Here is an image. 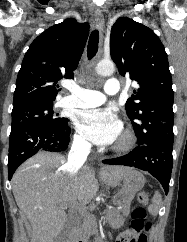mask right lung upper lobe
<instances>
[{
	"label": "right lung upper lobe",
	"mask_w": 187,
	"mask_h": 242,
	"mask_svg": "<svg viewBox=\"0 0 187 242\" xmlns=\"http://www.w3.org/2000/svg\"><path fill=\"white\" fill-rule=\"evenodd\" d=\"M88 34V23L79 24L69 18L39 35L22 61L14 91V106L53 102L60 90L57 81L73 78Z\"/></svg>",
	"instance_id": "1"
}]
</instances>
